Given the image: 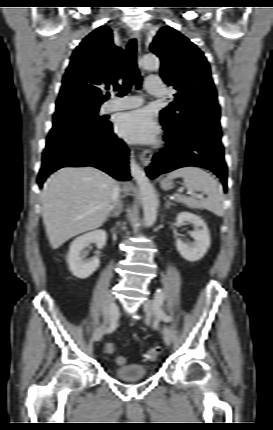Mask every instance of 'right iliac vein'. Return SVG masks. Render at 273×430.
Wrapping results in <instances>:
<instances>
[{
  "label": "right iliac vein",
  "instance_id": "right-iliac-vein-1",
  "mask_svg": "<svg viewBox=\"0 0 273 430\" xmlns=\"http://www.w3.org/2000/svg\"><path fill=\"white\" fill-rule=\"evenodd\" d=\"M117 313H118V307L114 302V295L112 291H110L107 295V305L104 312V322L100 327H98L94 331V334H93L94 341H99L102 338L105 327L112 323L113 317Z\"/></svg>",
  "mask_w": 273,
  "mask_h": 430
}]
</instances>
